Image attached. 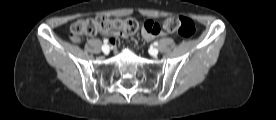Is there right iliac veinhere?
<instances>
[{"mask_svg": "<svg viewBox=\"0 0 276 120\" xmlns=\"http://www.w3.org/2000/svg\"><path fill=\"white\" fill-rule=\"evenodd\" d=\"M102 51L105 53V54H108L109 53V46L107 44H104L102 46Z\"/></svg>", "mask_w": 276, "mask_h": 120, "instance_id": "obj_1", "label": "right iliac vein"}]
</instances>
